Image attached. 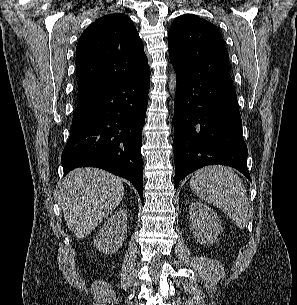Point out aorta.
Returning <instances> with one entry per match:
<instances>
[{
  "label": "aorta",
  "mask_w": 297,
  "mask_h": 305,
  "mask_svg": "<svg viewBox=\"0 0 297 305\" xmlns=\"http://www.w3.org/2000/svg\"><path fill=\"white\" fill-rule=\"evenodd\" d=\"M177 87V75L175 72H171L169 76V90L172 95H175Z\"/></svg>",
  "instance_id": "obj_1"
}]
</instances>
